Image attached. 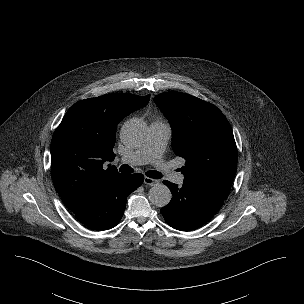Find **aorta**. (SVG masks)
<instances>
[{
	"label": "aorta",
	"mask_w": 304,
	"mask_h": 304,
	"mask_svg": "<svg viewBox=\"0 0 304 304\" xmlns=\"http://www.w3.org/2000/svg\"><path fill=\"white\" fill-rule=\"evenodd\" d=\"M120 135L125 145L138 147L145 142L148 129L142 120L131 119L122 126ZM171 198L172 194L170 189L161 183L155 184L149 191V200L157 207L168 205Z\"/></svg>",
	"instance_id": "762f6f07"
}]
</instances>
